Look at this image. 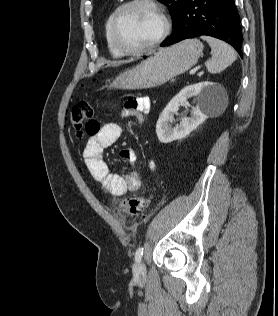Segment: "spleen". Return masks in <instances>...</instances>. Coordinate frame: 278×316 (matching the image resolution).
Masks as SVG:
<instances>
[{"instance_id":"1","label":"spleen","mask_w":278,"mask_h":316,"mask_svg":"<svg viewBox=\"0 0 278 316\" xmlns=\"http://www.w3.org/2000/svg\"><path fill=\"white\" fill-rule=\"evenodd\" d=\"M201 39L211 47L212 59L206 63L210 73H218L236 60L235 50L224 41L209 36H201Z\"/></svg>"}]
</instances>
